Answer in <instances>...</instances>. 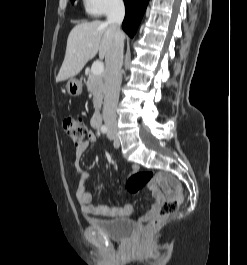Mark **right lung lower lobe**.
Wrapping results in <instances>:
<instances>
[{
	"instance_id": "98d812e1",
	"label": "right lung lower lobe",
	"mask_w": 247,
	"mask_h": 265,
	"mask_svg": "<svg viewBox=\"0 0 247 265\" xmlns=\"http://www.w3.org/2000/svg\"><path fill=\"white\" fill-rule=\"evenodd\" d=\"M148 2L149 0H124L126 14L122 28L130 37L136 33Z\"/></svg>"
}]
</instances>
